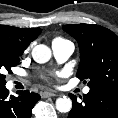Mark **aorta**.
<instances>
[{
	"label": "aorta",
	"mask_w": 118,
	"mask_h": 118,
	"mask_svg": "<svg viewBox=\"0 0 118 118\" xmlns=\"http://www.w3.org/2000/svg\"><path fill=\"white\" fill-rule=\"evenodd\" d=\"M51 50L48 46L39 44L32 50V57L37 63H46L51 58ZM56 109L61 113H67L72 109V101L69 97H59L56 100Z\"/></svg>",
	"instance_id": "1"
}]
</instances>
